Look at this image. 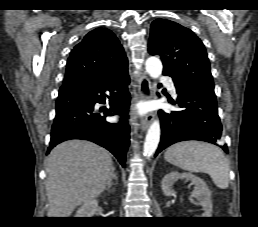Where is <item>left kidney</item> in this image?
<instances>
[{"label":"left kidney","instance_id":"obj_1","mask_svg":"<svg viewBox=\"0 0 258 227\" xmlns=\"http://www.w3.org/2000/svg\"><path fill=\"white\" fill-rule=\"evenodd\" d=\"M178 179H185L186 181H191V183L194 185L192 196L198 199V204L201 205L204 210L201 217H211V192L207 184L201 178L187 172L179 173L172 171L166 174L162 179L163 193L166 196L173 195L175 192L172 189V186Z\"/></svg>","mask_w":258,"mask_h":227}]
</instances>
